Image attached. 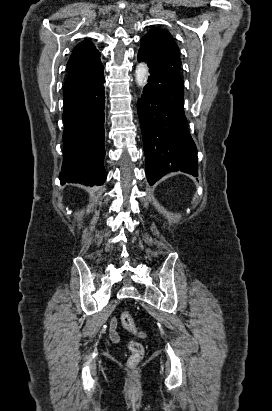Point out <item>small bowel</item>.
<instances>
[{
  "mask_svg": "<svg viewBox=\"0 0 272 411\" xmlns=\"http://www.w3.org/2000/svg\"><path fill=\"white\" fill-rule=\"evenodd\" d=\"M110 339L113 343H118L120 340L119 334L117 332V319L113 317L110 321L109 328Z\"/></svg>",
  "mask_w": 272,
  "mask_h": 411,
  "instance_id": "1",
  "label": "small bowel"
}]
</instances>
